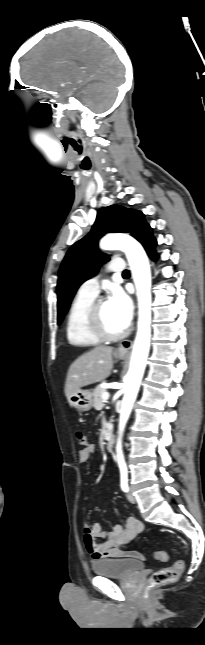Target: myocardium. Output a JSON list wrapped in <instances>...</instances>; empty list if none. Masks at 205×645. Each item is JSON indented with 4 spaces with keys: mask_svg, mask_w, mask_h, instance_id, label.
<instances>
[{
    "mask_svg": "<svg viewBox=\"0 0 205 645\" xmlns=\"http://www.w3.org/2000/svg\"><path fill=\"white\" fill-rule=\"evenodd\" d=\"M105 302L103 299H96L91 304L87 314V324L91 333L101 341H115L123 338L127 331L123 330L118 333L108 331L103 323L101 316V306Z\"/></svg>",
    "mask_w": 205,
    "mask_h": 645,
    "instance_id": "f54148a6",
    "label": "myocardium"
}]
</instances>
